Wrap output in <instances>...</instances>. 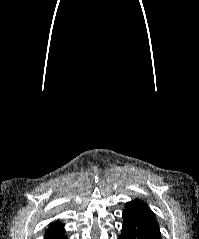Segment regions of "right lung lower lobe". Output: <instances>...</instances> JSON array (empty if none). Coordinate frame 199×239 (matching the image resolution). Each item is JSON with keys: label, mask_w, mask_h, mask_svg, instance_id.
I'll list each match as a JSON object with an SVG mask.
<instances>
[{"label": "right lung lower lobe", "mask_w": 199, "mask_h": 239, "mask_svg": "<svg viewBox=\"0 0 199 239\" xmlns=\"http://www.w3.org/2000/svg\"><path fill=\"white\" fill-rule=\"evenodd\" d=\"M44 239H67L65 237L63 224L55 222L46 231Z\"/></svg>", "instance_id": "right-lung-lower-lobe-1"}]
</instances>
